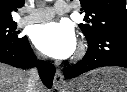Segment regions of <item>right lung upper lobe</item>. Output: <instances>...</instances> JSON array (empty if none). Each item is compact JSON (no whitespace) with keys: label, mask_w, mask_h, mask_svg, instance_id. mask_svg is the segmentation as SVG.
Wrapping results in <instances>:
<instances>
[{"label":"right lung upper lobe","mask_w":127,"mask_h":92,"mask_svg":"<svg viewBox=\"0 0 127 92\" xmlns=\"http://www.w3.org/2000/svg\"><path fill=\"white\" fill-rule=\"evenodd\" d=\"M23 4L24 0H0V24L13 23L11 12Z\"/></svg>","instance_id":"right-lung-upper-lobe-1"}]
</instances>
